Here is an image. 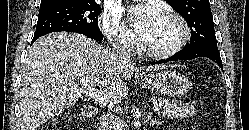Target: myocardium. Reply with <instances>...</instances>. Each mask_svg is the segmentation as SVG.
I'll use <instances>...</instances> for the list:
<instances>
[{"label":"myocardium","instance_id":"f54148a6","mask_svg":"<svg viewBox=\"0 0 249 130\" xmlns=\"http://www.w3.org/2000/svg\"><path fill=\"white\" fill-rule=\"evenodd\" d=\"M163 15L175 20L179 24L181 32L177 41L166 49L153 50L148 48L146 45H143L142 46L143 53L154 59H165L175 55L185 47V45L188 43L191 37L190 27L187 21L180 14H178L175 11L168 10L165 11Z\"/></svg>","mask_w":249,"mask_h":130}]
</instances>
